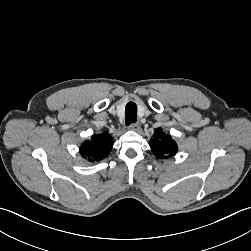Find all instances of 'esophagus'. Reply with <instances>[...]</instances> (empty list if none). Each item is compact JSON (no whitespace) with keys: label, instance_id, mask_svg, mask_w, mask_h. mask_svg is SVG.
<instances>
[{"label":"esophagus","instance_id":"34e87169","mask_svg":"<svg viewBox=\"0 0 251 251\" xmlns=\"http://www.w3.org/2000/svg\"><path fill=\"white\" fill-rule=\"evenodd\" d=\"M129 129L133 131H139L140 130V125L139 123H131L129 125Z\"/></svg>","mask_w":251,"mask_h":251}]
</instances>
